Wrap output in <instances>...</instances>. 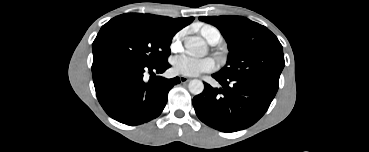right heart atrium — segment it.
<instances>
[{
  "mask_svg": "<svg viewBox=\"0 0 369 152\" xmlns=\"http://www.w3.org/2000/svg\"><path fill=\"white\" fill-rule=\"evenodd\" d=\"M182 37H183L182 32H178L177 34H175V36L173 37L171 41V46H170L172 51L177 52L181 49Z\"/></svg>",
  "mask_w": 369,
  "mask_h": 152,
  "instance_id": "right-heart-atrium-1",
  "label": "right heart atrium"
}]
</instances>
